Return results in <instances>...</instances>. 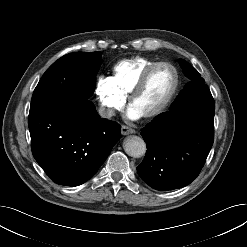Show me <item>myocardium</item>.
Here are the masks:
<instances>
[{"label": "myocardium", "mask_w": 247, "mask_h": 247, "mask_svg": "<svg viewBox=\"0 0 247 247\" xmlns=\"http://www.w3.org/2000/svg\"><path fill=\"white\" fill-rule=\"evenodd\" d=\"M162 65L169 66L173 70L174 83H173V86H172L169 94L165 98V100L156 109L143 115L142 117L144 119H152V118L159 116L161 113H163L166 110V108L170 105V103L172 102V100L174 99V97L178 91L179 84H180V75H179L177 68L172 63H170L168 61H156L153 64L149 65L146 69H144V71L141 73L138 80L136 81V83L132 87L131 91L129 92V94L127 96V102H128L129 107H131L133 100L143 90V88L146 85L148 78L151 75V73L157 67L162 66Z\"/></svg>", "instance_id": "f54148a6"}]
</instances>
